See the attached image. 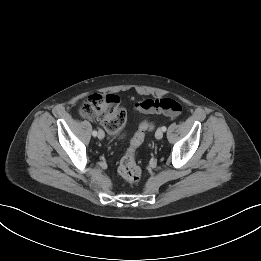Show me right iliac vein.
Listing matches in <instances>:
<instances>
[{
  "label": "right iliac vein",
  "mask_w": 261,
  "mask_h": 261,
  "mask_svg": "<svg viewBox=\"0 0 261 261\" xmlns=\"http://www.w3.org/2000/svg\"><path fill=\"white\" fill-rule=\"evenodd\" d=\"M97 136H98V138H99L100 140H102V139L104 138V136H105L104 131H103V130H99Z\"/></svg>",
  "instance_id": "right-iliac-vein-1"
}]
</instances>
